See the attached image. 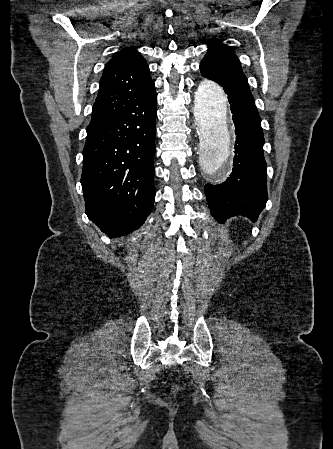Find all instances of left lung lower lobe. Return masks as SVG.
<instances>
[{"instance_id":"left-lung-lower-lobe-1","label":"left lung lower lobe","mask_w":333,"mask_h":449,"mask_svg":"<svg viewBox=\"0 0 333 449\" xmlns=\"http://www.w3.org/2000/svg\"><path fill=\"white\" fill-rule=\"evenodd\" d=\"M202 76L224 88L236 127L234 168L230 177L220 185L206 184L204 187L211 213L220 223L234 215H245L255 221L265 207L268 195L264 135L254 98L249 89Z\"/></svg>"}]
</instances>
